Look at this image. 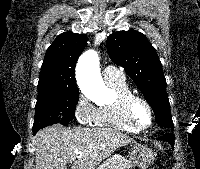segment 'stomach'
<instances>
[{
  "label": "stomach",
  "mask_w": 200,
  "mask_h": 169,
  "mask_svg": "<svg viewBox=\"0 0 200 169\" xmlns=\"http://www.w3.org/2000/svg\"><path fill=\"white\" fill-rule=\"evenodd\" d=\"M129 159L132 164L138 166L140 169H146L153 163L155 154L146 145L134 144L133 146L131 145Z\"/></svg>",
  "instance_id": "obj_1"
}]
</instances>
